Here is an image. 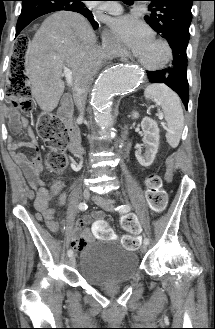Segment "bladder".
Here are the masks:
<instances>
[{
	"label": "bladder",
	"instance_id": "1",
	"mask_svg": "<svg viewBox=\"0 0 215 329\" xmlns=\"http://www.w3.org/2000/svg\"><path fill=\"white\" fill-rule=\"evenodd\" d=\"M139 273V258L134 250L117 240H95L81 251L78 275L92 286H107L130 281Z\"/></svg>",
	"mask_w": 215,
	"mask_h": 329
}]
</instances>
